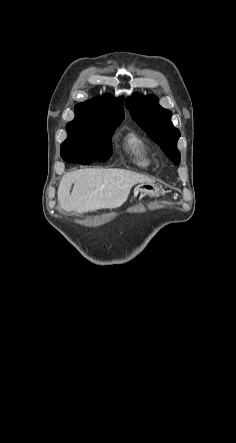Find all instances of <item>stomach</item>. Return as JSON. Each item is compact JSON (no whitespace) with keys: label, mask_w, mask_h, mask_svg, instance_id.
Returning a JSON list of instances; mask_svg holds the SVG:
<instances>
[{"label":"stomach","mask_w":236,"mask_h":443,"mask_svg":"<svg viewBox=\"0 0 236 443\" xmlns=\"http://www.w3.org/2000/svg\"><path fill=\"white\" fill-rule=\"evenodd\" d=\"M141 195H150V196H158L160 193V190L158 187L150 184H139L134 189V195L137 194Z\"/></svg>","instance_id":"0dacf381"}]
</instances>
